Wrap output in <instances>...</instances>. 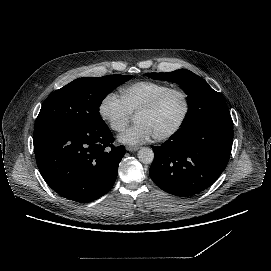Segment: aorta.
<instances>
[{
    "label": "aorta",
    "mask_w": 271,
    "mask_h": 271,
    "mask_svg": "<svg viewBox=\"0 0 271 271\" xmlns=\"http://www.w3.org/2000/svg\"><path fill=\"white\" fill-rule=\"evenodd\" d=\"M138 159L143 164H151L154 159V152L151 148H142L138 152Z\"/></svg>",
    "instance_id": "1"
}]
</instances>
